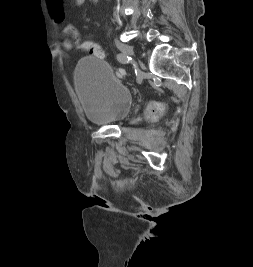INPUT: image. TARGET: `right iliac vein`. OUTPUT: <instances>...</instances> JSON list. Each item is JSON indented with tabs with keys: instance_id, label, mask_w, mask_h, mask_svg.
<instances>
[{
	"instance_id": "right-iliac-vein-1",
	"label": "right iliac vein",
	"mask_w": 253,
	"mask_h": 267,
	"mask_svg": "<svg viewBox=\"0 0 253 267\" xmlns=\"http://www.w3.org/2000/svg\"><path fill=\"white\" fill-rule=\"evenodd\" d=\"M115 45L123 54L130 56L134 55V50L130 45L126 43H121L119 41H115Z\"/></svg>"
}]
</instances>
